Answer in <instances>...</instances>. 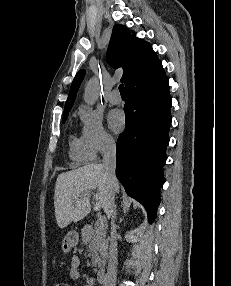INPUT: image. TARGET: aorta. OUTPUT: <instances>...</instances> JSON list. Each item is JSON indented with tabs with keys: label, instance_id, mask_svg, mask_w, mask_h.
I'll list each match as a JSON object with an SVG mask.
<instances>
[{
	"label": "aorta",
	"instance_id": "aorta-1",
	"mask_svg": "<svg viewBox=\"0 0 231 286\" xmlns=\"http://www.w3.org/2000/svg\"><path fill=\"white\" fill-rule=\"evenodd\" d=\"M99 93V83L96 78H92L88 81V83L85 86L84 90V101L88 105H93L97 98Z\"/></svg>",
	"mask_w": 231,
	"mask_h": 286
}]
</instances>
